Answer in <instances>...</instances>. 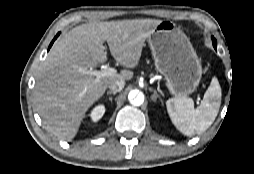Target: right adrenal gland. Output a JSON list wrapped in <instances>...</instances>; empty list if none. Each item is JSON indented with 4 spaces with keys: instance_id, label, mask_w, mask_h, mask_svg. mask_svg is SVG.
I'll return each instance as SVG.
<instances>
[{
    "instance_id": "right-adrenal-gland-1",
    "label": "right adrenal gland",
    "mask_w": 254,
    "mask_h": 174,
    "mask_svg": "<svg viewBox=\"0 0 254 174\" xmlns=\"http://www.w3.org/2000/svg\"><path fill=\"white\" fill-rule=\"evenodd\" d=\"M117 92L115 91H108L107 92V95L110 96V95H115ZM110 101L112 102V98H110Z\"/></svg>"
}]
</instances>
